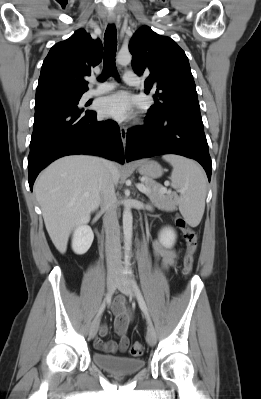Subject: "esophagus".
<instances>
[{
	"mask_svg": "<svg viewBox=\"0 0 261 399\" xmlns=\"http://www.w3.org/2000/svg\"><path fill=\"white\" fill-rule=\"evenodd\" d=\"M108 22L110 24H115L116 23V16L114 14H110L108 16ZM120 135H121V140L123 143V146L125 148L126 145V138H127V129L124 125H120Z\"/></svg>",
	"mask_w": 261,
	"mask_h": 399,
	"instance_id": "esophagus-1",
	"label": "esophagus"
}]
</instances>
